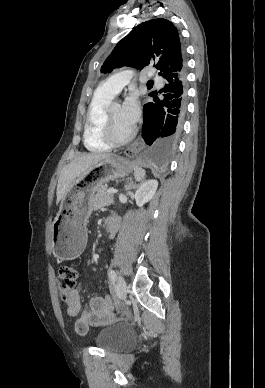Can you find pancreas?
<instances>
[{"instance_id":"cf45deb5","label":"pancreas","mask_w":265,"mask_h":388,"mask_svg":"<svg viewBox=\"0 0 265 388\" xmlns=\"http://www.w3.org/2000/svg\"><path fill=\"white\" fill-rule=\"evenodd\" d=\"M106 190V186H101V184L96 188L95 194L91 198L93 208H104V206L113 204V196H110Z\"/></svg>"}]
</instances>
